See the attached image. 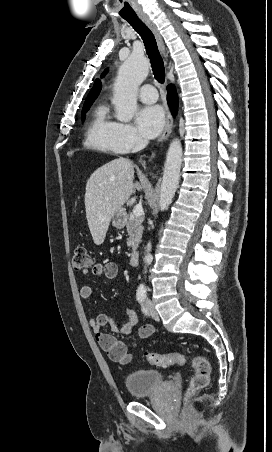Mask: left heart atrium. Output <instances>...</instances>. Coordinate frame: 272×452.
I'll list each match as a JSON object with an SVG mask.
<instances>
[{"label": "left heart atrium", "mask_w": 272, "mask_h": 452, "mask_svg": "<svg viewBox=\"0 0 272 452\" xmlns=\"http://www.w3.org/2000/svg\"><path fill=\"white\" fill-rule=\"evenodd\" d=\"M140 132L148 138L156 137L163 129L165 115L160 106L143 108L137 118Z\"/></svg>", "instance_id": "39dd6f15"}]
</instances>
